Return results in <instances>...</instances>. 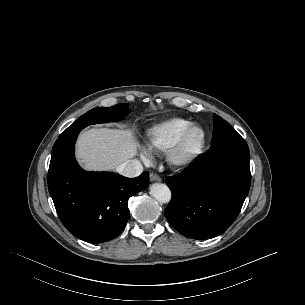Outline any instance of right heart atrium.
<instances>
[{"mask_svg": "<svg viewBox=\"0 0 305 305\" xmlns=\"http://www.w3.org/2000/svg\"><path fill=\"white\" fill-rule=\"evenodd\" d=\"M142 157H143L144 159H147V158H148V156H147L146 154H143Z\"/></svg>", "mask_w": 305, "mask_h": 305, "instance_id": "d8ad5b80", "label": "right heart atrium"}]
</instances>
